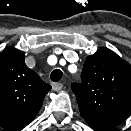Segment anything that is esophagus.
I'll return each mask as SVG.
<instances>
[{
  "mask_svg": "<svg viewBox=\"0 0 131 131\" xmlns=\"http://www.w3.org/2000/svg\"><path fill=\"white\" fill-rule=\"evenodd\" d=\"M52 88L55 91H59V90H61L63 88V84L59 83V82L53 83L52 84Z\"/></svg>",
  "mask_w": 131,
  "mask_h": 131,
  "instance_id": "obj_1",
  "label": "esophagus"
}]
</instances>
